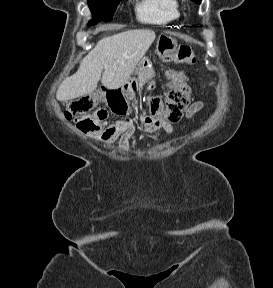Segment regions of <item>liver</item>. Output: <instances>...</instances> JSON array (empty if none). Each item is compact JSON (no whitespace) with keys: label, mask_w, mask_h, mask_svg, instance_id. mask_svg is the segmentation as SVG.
<instances>
[{"label":"liver","mask_w":273,"mask_h":288,"mask_svg":"<svg viewBox=\"0 0 273 288\" xmlns=\"http://www.w3.org/2000/svg\"><path fill=\"white\" fill-rule=\"evenodd\" d=\"M155 37V32L148 29L128 30L104 37L81 61L78 71L61 83L56 93L57 100L65 102L91 94L100 79L107 89L120 88L130 78Z\"/></svg>","instance_id":"1"}]
</instances>
